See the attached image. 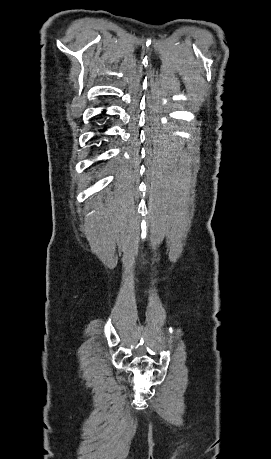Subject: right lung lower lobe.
<instances>
[{
  "instance_id": "obj_1",
  "label": "right lung lower lobe",
  "mask_w": 271,
  "mask_h": 459,
  "mask_svg": "<svg viewBox=\"0 0 271 459\" xmlns=\"http://www.w3.org/2000/svg\"><path fill=\"white\" fill-rule=\"evenodd\" d=\"M102 113H105V111H103ZM104 130H105V128L103 130H101V131H104Z\"/></svg>"
}]
</instances>
